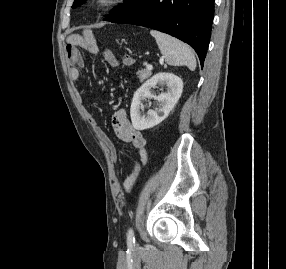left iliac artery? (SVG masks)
<instances>
[{
    "instance_id": "1",
    "label": "left iliac artery",
    "mask_w": 286,
    "mask_h": 269,
    "mask_svg": "<svg viewBox=\"0 0 286 269\" xmlns=\"http://www.w3.org/2000/svg\"><path fill=\"white\" fill-rule=\"evenodd\" d=\"M134 244H135L134 232H133V229L130 228L127 233V245L129 247H132L134 246Z\"/></svg>"
}]
</instances>
